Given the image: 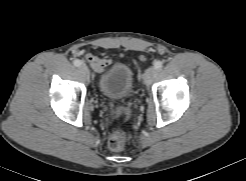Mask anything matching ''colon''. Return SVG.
Wrapping results in <instances>:
<instances>
[{
  "label": "colon",
  "instance_id": "1",
  "mask_svg": "<svg viewBox=\"0 0 246 181\" xmlns=\"http://www.w3.org/2000/svg\"><path fill=\"white\" fill-rule=\"evenodd\" d=\"M121 110L127 113L126 108H122ZM127 140L128 136L125 132L117 131L110 135L107 145L112 151H121L125 147Z\"/></svg>",
  "mask_w": 246,
  "mask_h": 181
}]
</instances>
